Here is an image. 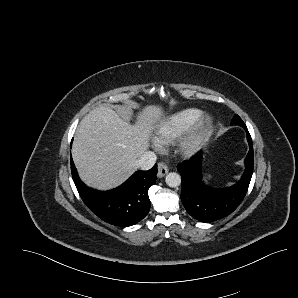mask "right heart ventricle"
<instances>
[{"instance_id":"right-heart-ventricle-1","label":"right heart ventricle","mask_w":298,"mask_h":298,"mask_svg":"<svg viewBox=\"0 0 298 298\" xmlns=\"http://www.w3.org/2000/svg\"><path fill=\"white\" fill-rule=\"evenodd\" d=\"M203 115V111L197 108L181 109L168 119L159 122L158 128L162 131L165 142H170L179 134L191 127L194 122Z\"/></svg>"}]
</instances>
